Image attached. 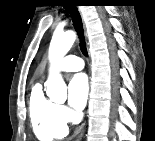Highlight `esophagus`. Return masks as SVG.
<instances>
[{"label":"esophagus","mask_w":155,"mask_h":141,"mask_svg":"<svg viewBox=\"0 0 155 141\" xmlns=\"http://www.w3.org/2000/svg\"><path fill=\"white\" fill-rule=\"evenodd\" d=\"M83 131H84V124H82L75 132V135H78L79 134V137L82 136L83 134Z\"/></svg>","instance_id":"obj_1"}]
</instances>
